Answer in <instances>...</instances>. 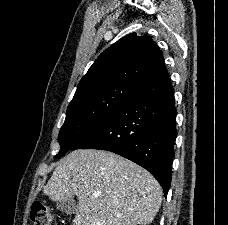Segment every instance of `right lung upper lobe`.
<instances>
[{
    "instance_id": "right-lung-upper-lobe-1",
    "label": "right lung upper lobe",
    "mask_w": 228,
    "mask_h": 225,
    "mask_svg": "<svg viewBox=\"0 0 228 225\" xmlns=\"http://www.w3.org/2000/svg\"><path fill=\"white\" fill-rule=\"evenodd\" d=\"M164 68L163 55L148 35L128 34L100 54L80 80L73 100L86 89L110 82L141 88Z\"/></svg>"
}]
</instances>
